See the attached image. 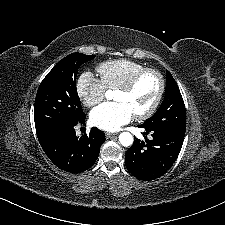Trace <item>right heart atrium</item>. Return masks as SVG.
I'll return each instance as SVG.
<instances>
[{"label":"right heart atrium","instance_id":"1","mask_svg":"<svg viewBox=\"0 0 225 225\" xmlns=\"http://www.w3.org/2000/svg\"><path fill=\"white\" fill-rule=\"evenodd\" d=\"M76 90L82 103L92 107L104 99L107 88L101 78L90 71H85L77 80Z\"/></svg>","mask_w":225,"mask_h":225}]
</instances>
